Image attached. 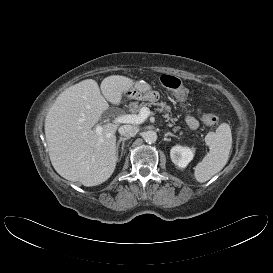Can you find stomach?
I'll use <instances>...</instances> for the list:
<instances>
[{"label":"stomach","mask_w":273,"mask_h":273,"mask_svg":"<svg viewBox=\"0 0 273 273\" xmlns=\"http://www.w3.org/2000/svg\"><path fill=\"white\" fill-rule=\"evenodd\" d=\"M129 98L138 100L155 101L156 93L151 90V87L145 83H138L136 89L126 91Z\"/></svg>","instance_id":"obj_1"}]
</instances>
